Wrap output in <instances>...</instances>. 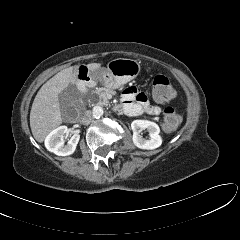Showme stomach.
<instances>
[{
	"label": "stomach",
	"instance_id": "stomach-1",
	"mask_svg": "<svg viewBox=\"0 0 240 240\" xmlns=\"http://www.w3.org/2000/svg\"><path fill=\"white\" fill-rule=\"evenodd\" d=\"M140 70L141 65L137 60L118 58L110 61L106 68L90 72V77L109 89H116L137 77Z\"/></svg>",
	"mask_w": 240,
	"mask_h": 240
}]
</instances>
